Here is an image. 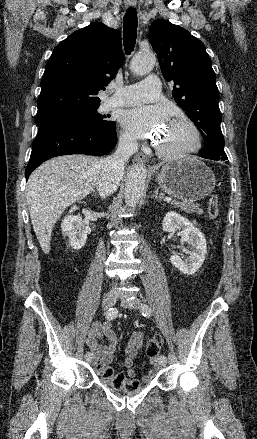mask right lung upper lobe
<instances>
[{"label":"right lung upper lobe","instance_id":"1","mask_svg":"<svg viewBox=\"0 0 257 439\" xmlns=\"http://www.w3.org/2000/svg\"><path fill=\"white\" fill-rule=\"evenodd\" d=\"M123 63L120 33L91 23L57 45L46 64L36 120L99 106V90Z\"/></svg>","mask_w":257,"mask_h":439}]
</instances>
